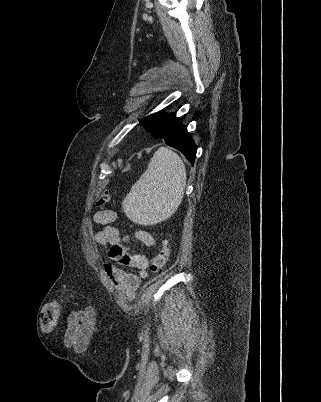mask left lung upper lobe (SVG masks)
<instances>
[{
    "instance_id": "obj_1",
    "label": "left lung upper lobe",
    "mask_w": 321,
    "mask_h": 402,
    "mask_svg": "<svg viewBox=\"0 0 321 402\" xmlns=\"http://www.w3.org/2000/svg\"><path fill=\"white\" fill-rule=\"evenodd\" d=\"M157 119L158 115L157 114H152L149 115L143 119H141L139 122L140 124L149 132L152 133V135L157 138L158 136L156 135V128H157Z\"/></svg>"
}]
</instances>
